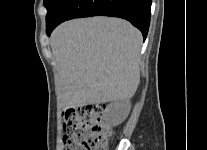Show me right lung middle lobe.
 Listing matches in <instances>:
<instances>
[{
  "mask_svg": "<svg viewBox=\"0 0 207 150\" xmlns=\"http://www.w3.org/2000/svg\"><path fill=\"white\" fill-rule=\"evenodd\" d=\"M65 1L66 0H44V6L47 9L46 23L53 19Z\"/></svg>",
  "mask_w": 207,
  "mask_h": 150,
  "instance_id": "dd1d6c3e",
  "label": "right lung middle lobe"
}]
</instances>
